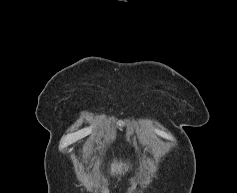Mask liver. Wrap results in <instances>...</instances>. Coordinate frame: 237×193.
Segmentation results:
<instances>
[{"instance_id":"obj_1","label":"liver","mask_w":237,"mask_h":193,"mask_svg":"<svg viewBox=\"0 0 237 193\" xmlns=\"http://www.w3.org/2000/svg\"><path fill=\"white\" fill-rule=\"evenodd\" d=\"M128 165L122 162H117L116 160L111 164V174H122L124 170H128Z\"/></svg>"}]
</instances>
